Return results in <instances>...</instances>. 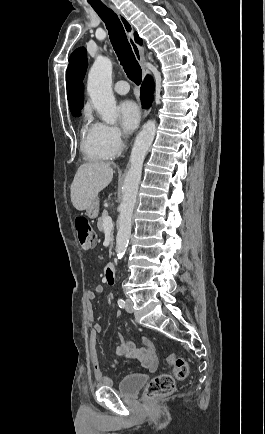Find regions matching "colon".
<instances>
[{"mask_svg": "<svg viewBox=\"0 0 265 434\" xmlns=\"http://www.w3.org/2000/svg\"><path fill=\"white\" fill-rule=\"evenodd\" d=\"M75 231L81 248L85 251L91 250L97 242V235L91 226L88 218H77L74 222ZM168 365L172 367L173 374L160 373L147 384L145 395L153 397L156 395L171 393L175 389V380H184L189 374L187 362L175 355L167 359Z\"/></svg>", "mask_w": 265, "mask_h": 434, "instance_id": "1", "label": "colon"}]
</instances>
